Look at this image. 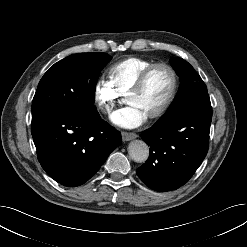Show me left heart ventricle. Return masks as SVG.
Listing matches in <instances>:
<instances>
[{
    "mask_svg": "<svg viewBox=\"0 0 247 247\" xmlns=\"http://www.w3.org/2000/svg\"><path fill=\"white\" fill-rule=\"evenodd\" d=\"M171 75L165 68H156L149 75L143 90L126 97L128 105L138 107L147 117L157 111L166 100L171 88Z\"/></svg>",
    "mask_w": 247,
    "mask_h": 247,
    "instance_id": "obj_1",
    "label": "left heart ventricle"
}]
</instances>
